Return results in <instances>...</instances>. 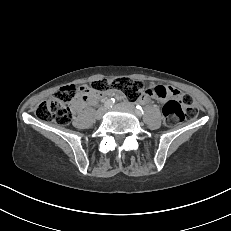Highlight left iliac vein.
Here are the masks:
<instances>
[{"label":"left iliac vein","mask_w":231,"mask_h":231,"mask_svg":"<svg viewBox=\"0 0 231 231\" xmlns=\"http://www.w3.org/2000/svg\"><path fill=\"white\" fill-rule=\"evenodd\" d=\"M116 107L125 108V109L130 110V111L135 110L134 105L132 103H129V102H125V103H122V104H117Z\"/></svg>","instance_id":"obj_1"}]
</instances>
